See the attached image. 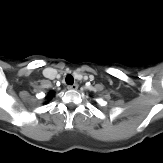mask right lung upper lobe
<instances>
[{"label":"right lung upper lobe","instance_id":"cb5924a9","mask_svg":"<svg viewBox=\"0 0 163 163\" xmlns=\"http://www.w3.org/2000/svg\"><path fill=\"white\" fill-rule=\"evenodd\" d=\"M53 95H54V93H53V92H50L46 98L49 99V98L52 97Z\"/></svg>","mask_w":163,"mask_h":163}]
</instances>
